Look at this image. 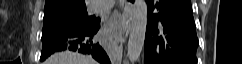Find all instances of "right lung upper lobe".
<instances>
[{"mask_svg":"<svg viewBox=\"0 0 242 64\" xmlns=\"http://www.w3.org/2000/svg\"><path fill=\"white\" fill-rule=\"evenodd\" d=\"M85 6V0H46L44 13Z\"/></svg>","mask_w":242,"mask_h":64,"instance_id":"1","label":"right lung upper lobe"}]
</instances>
